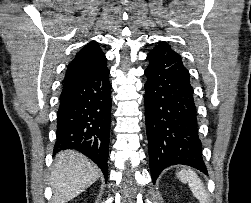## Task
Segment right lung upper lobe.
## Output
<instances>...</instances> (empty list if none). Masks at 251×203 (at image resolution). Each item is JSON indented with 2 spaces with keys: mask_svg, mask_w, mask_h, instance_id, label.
Instances as JSON below:
<instances>
[{
  "mask_svg": "<svg viewBox=\"0 0 251 203\" xmlns=\"http://www.w3.org/2000/svg\"><path fill=\"white\" fill-rule=\"evenodd\" d=\"M105 64L106 57L98 43L91 41L76 54L68 65L63 81V89L76 84Z\"/></svg>",
  "mask_w": 251,
  "mask_h": 203,
  "instance_id": "1",
  "label": "right lung upper lobe"
}]
</instances>
